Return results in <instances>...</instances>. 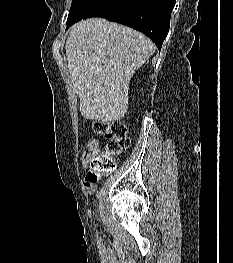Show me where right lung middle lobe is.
Here are the masks:
<instances>
[{
	"label": "right lung middle lobe",
	"instance_id": "1",
	"mask_svg": "<svg viewBox=\"0 0 233 263\" xmlns=\"http://www.w3.org/2000/svg\"><path fill=\"white\" fill-rule=\"evenodd\" d=\"M123 0H72L67 27L89 17L110 15Z\"/></svg>",
	"mask_w": 233,
	"mask_h": 263
}]
</instances>
